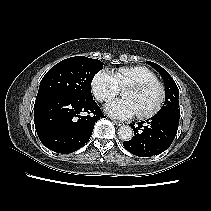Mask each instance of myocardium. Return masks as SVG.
Wrapping results in <instances>:
<instances>
[{
	"label": "myocardium",
	"mask_w": 211,
	"mask_h": 211,
	"mask_svg": "<svg viewBox=\"0 0 211 211\" xmlns=\"http://www.w3.org/2000/svg\"><path fill=\"white\" fill-rule=\"evenodd\" d=\"M153 86L158 87V89L160 91V97H159L156 105L150 111L137 114V117L140 119L152 118L161 110V108L165 102V99H166L165 86L159 80H146V81H141V82H136V83L130 84L129 86L126 87V88L134 89L137 91H144Z\"/></svg>",
	"instance_id": "obj_1"
}]
</instances>
